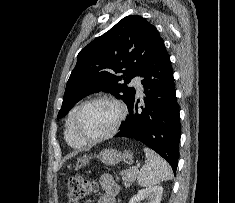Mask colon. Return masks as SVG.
Instances as JSON below:
<instances>
[{"instance_id": "obj_1", "label": "colon", "mask_w": 235, "mask_h": 203, "mask_svg": "<svg viewBox=\"0 0 235 203\" xmlns=\"http://www.w3.org/2000/svg\"><path fill=\"white\" fill-rule=\"evenodd\" d=\"M69 203H81L91 193L97 190V184L79 176L71 177L67 184Z\"/></svg>"}]
</instances>
